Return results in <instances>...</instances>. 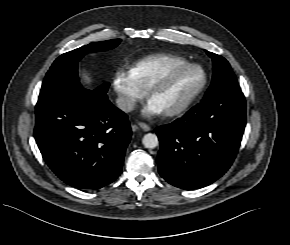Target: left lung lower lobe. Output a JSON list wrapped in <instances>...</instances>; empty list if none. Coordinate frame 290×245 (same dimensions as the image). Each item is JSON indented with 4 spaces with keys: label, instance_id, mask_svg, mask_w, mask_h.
Masks as SVG:
<instances>
[{
    "label": "left lung lower lobe",
    "instance_id": "0a47b994",
    "mask_svg": "<svg viewBox=\"0 0 290 245\" xmlns=\"http://www.w3.org/2000/svg\"><path fill=\"white\" fill-rule=\"evenodd\" d=\"M245 125L246 102L241 91L203 99L182 118L156 129L160 175L182 189L213 183L233 163Z\"/></svg>",
    "mask_w": 290,
    "mask_h": 245
}]
</instances>
